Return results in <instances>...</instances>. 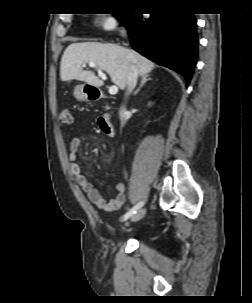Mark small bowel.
Masks as SVG:
<instances>
[{"label":"small bowel","mask_w":252,"mask_h":303,"mask_svg":"<svg viewBox=\"0 0 252 303\" xmlns=\"http://www.w3.org/2000/svg\"><path fill=\"white\" fill-rule=\"evenodd\" d=\"M83 139V136H77L74 137L70 142L68 157L69 171L82 190L87 194L88 199L94 206L105 212H113L118 210L125 201L124 186L121 183H118L115 186L113 198L110 201H106L100 191L96 189L81 173V168L76 159Z\"/></svg>","instance_id":"1"}]
</instances>
